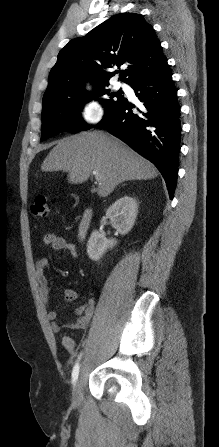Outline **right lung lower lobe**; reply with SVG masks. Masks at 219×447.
<instances>
[{"instance_id": "1", "label": "right lung lower lobe", "mask_w": 219, "mask_h": 447, "mask_svg": "<svg viewBox=\"0 0 219 447\" xmlns=\"http://www.w3.org/2000/svg\"><path fill=\"white\" fill-rule=\"evenodd\" d=\"M142 102L135 105L125 98L95 127L106 129L140 155L151 161L166 181L170 199L173 198L181 139L180 106L172 73L166 64L156 75L132 86Z\"/></svg>"}]
</instances>
